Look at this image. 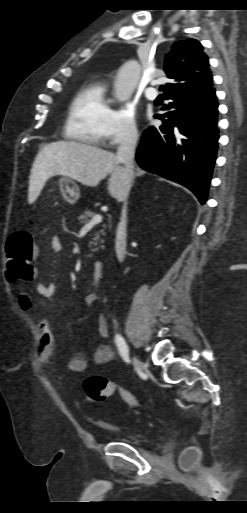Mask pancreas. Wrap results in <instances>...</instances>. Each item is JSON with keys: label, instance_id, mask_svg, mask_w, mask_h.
Listing matches in <instances>:
<instances>
[{"label": "pancreas", "instance_id": "1", "mask_svg": "<svg viewBox=\"0 0 247 513\" xmlns=\"http://www.w3.org/2000/svg\"><path fill=\"white\" fill-rule=\"evenodd\" d=\"M96 215L95 212L91 211V210H85L79 217H78V220L81 224H86L88 223L91 218ZM99 234H102V235H105V229L103 228L102 230L99 231V233H96L95 234V238L94 240H98L99 238Z\"/></svg>", "mask_w": 247, "mask_h": 513}]
</instances>
